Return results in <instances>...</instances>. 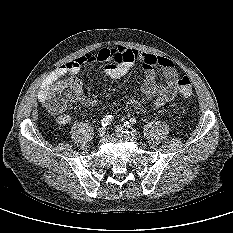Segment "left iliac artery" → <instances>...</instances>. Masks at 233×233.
<instances>
[{"label":"left iliac artery","instance_id":"left-iliac-artery-1","mask_svg":"<svg viewBox=\"0 0 233 233\" xmlns=\"http://www.w3.org/2000/svg\"><path fill=\"white\" fill-rule=\"evenodd\" d=\"M131 125H134L136 123V119L135 118H131L129 121H128Z\"/></svg>","mask_w":233,"mask_h":233}]
</instances>
